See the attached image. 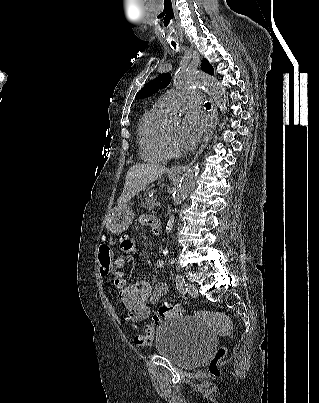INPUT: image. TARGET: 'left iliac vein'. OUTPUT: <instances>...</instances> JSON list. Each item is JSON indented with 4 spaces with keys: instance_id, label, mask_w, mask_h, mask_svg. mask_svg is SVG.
<instances>
[{
    "instance_id": "left-iliac-vein-1",
    "label": "left iliac vein",
    "mask_w": 319,
    "mask_h": 403,
    "mask_svg": "<svg viewBox=\"0 0 319 403\" xmlns=\"http://www.w3.org/2000/svg\"><path fill=\"white\" fill-rule=\"evenodd\" d=\"M187 293H188L191 297H193V298L198 297V290H197V288H196L193 284H191V283H189L188 286H187Z\"/></svg>"
}]
</instances>
